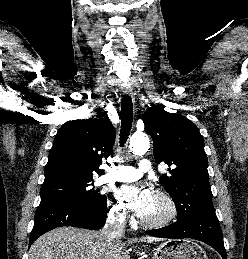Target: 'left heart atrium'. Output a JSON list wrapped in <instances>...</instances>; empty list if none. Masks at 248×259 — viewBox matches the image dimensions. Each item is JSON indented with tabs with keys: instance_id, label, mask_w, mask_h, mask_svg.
I'll return each instance as SVG.
<instances>
[{
	"instance_id": "39dd6f15",
	"label": "left heart atrium",
	"mask_w": 248,
	"mask_h": 259,
	"mask_svg": "<svg viewBox=\"0 0 248 259\" xmlns=\"http://www.w3.org/2000/svg\"><path fill=\"white\" fill-rule=\"evenodd\" d=\"M116 195L139 217H143L152 202L153 193L144 186L127 185L116 190Z\"/></svg>"
}]
</instances>
